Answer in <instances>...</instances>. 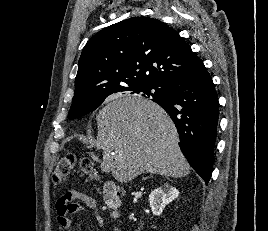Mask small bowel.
Returning <instances> with one entry per match:
<instances>
[{"instance_id": "1", "label": "small bowel", "mask_w": 268, "mask_h": 231, "mask_svg": "<svg viewBox=\"0 0 268 231\" xmlns=\"http://www.w3.org/2000/svg\"><path fill=\"white\" fill-rule=\"evenodd\" d=\"M55 209L57 221L61 228H71L72 215L82 211L88 212L98 225L103 227V220L96 200L77 188L70 187L62 191L56 200Z\"/></svg>"}]
</instances>
